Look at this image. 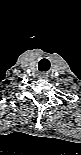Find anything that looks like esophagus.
Returning <instances> with one entry per match:
<instances>
[{
	"mask_svg": "<svg viewBox=\"0 0 81 155\" xmlns=\"http://www.w3.org/2000/svg\"><path fill=\"white\" fill-rule=\"evenodd\" d=\"M41 77L42 78H47V74L43 73V74H41Z\"/></svg>",
	"mask_w": 81,
	"mask_h": 155,
	"instance_id": "esophagus-1",
	"label": "esophagus"
}]
</instances>
